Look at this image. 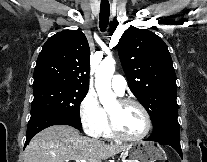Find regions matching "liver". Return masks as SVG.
<instances>
[{
	"label": "liver",
	"instance_id": "1",
	"mask_svg": "<svg viewBox=\"0 0 207 162\" xmlns=\"http://www.w3.org/2000/svg\"><path fill=\"white\" fill-rule=\"evenodd\" d=\"M128 146L84 137L75 128L59 124L42 130L32 138L24 151V162H101Z\"/></svg>",
	"mask_w": 207,
	"mask_h": 162
}]
</instances>
